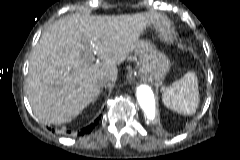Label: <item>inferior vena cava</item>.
<instances>
[{
  "label": "inferior vena cava",
  "mask_w": 240,
  "mask_h": 160,
  "mask_svg": "<svg viewBox=\"0 0 240 160\" xmlns=\"http://www.w3.org/2000/svg\"><path fill=\"white\" fill-rule=\"evenodd\" d=\"M107 82H109V78H104V79H102V80H101L102 86H103L105 83H107Z\"/></svg>",
  "instance_id": "602c4592"
}]
</instances>
